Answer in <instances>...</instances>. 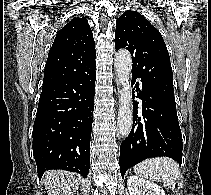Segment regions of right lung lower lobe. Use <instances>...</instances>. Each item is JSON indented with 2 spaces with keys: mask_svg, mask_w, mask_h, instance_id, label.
<instances>
[{
  "mask_svg": "<svg viewBox=\"0 0 211 195\" xmlns=\"http://www.w3.org/2000/svg\"><path fill=\"white\" fill-rule=\"evenodd\" d=\"M95 66L43 85L33 127L39 179L49 169L89 173Z\"/></svg>",
  "mask_w": 211,
  "mask_h": 195,
  "instance_id": "1",
  "label": "right lung lower lobe"
}]
</instances>
